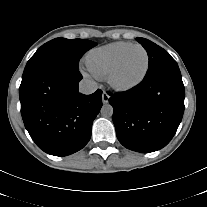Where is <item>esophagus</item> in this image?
<instances>
[{"label":"esophagus","instance_id":"1","mask_svg":"<svg viewBox=\"0 0 207 207\" xmlns=\"http://www.w3.org/2000/svg\"><path fill=\"white\" fill-rule=\"evenodd\" d=\"M109 98H110V96L108 95V93L105 92V91H103V93H102V102H103L104 104H107L108 101H109Z\"/></svg>","mask_w":207,"mask_h":207}]
</instances>
